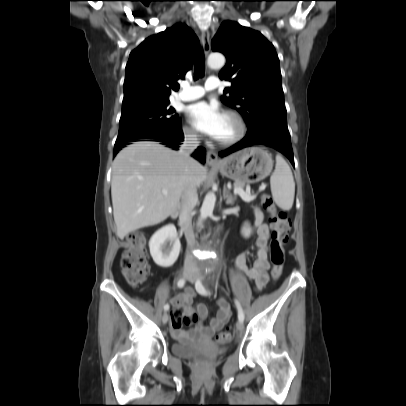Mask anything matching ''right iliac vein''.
<instances>
[{
  "mask_svg": "<svg viewBox=\"0 0 406 406\" xmlns=\"http://www.w3.org/2000/svg\"><path fill=\"white\" fill-rule=\"evenodd\" d=\"M183 277H184L185 279H189V280H190V279L193 277V269L190 268V267L185 268V269L183 270ZM167 321H168V314L165 313V314L162 316V322H163L164 324H166Z\"/></svg>",
  "mask_w": 406,
  "mask_h": 406,
  "instance_id": "63e3f726",
  "label": "right iliac vein"
}]
</instances>
